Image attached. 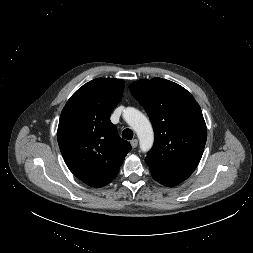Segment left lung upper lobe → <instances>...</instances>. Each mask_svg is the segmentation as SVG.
<instances>
[{"mask_svg":"<svg viewBox=\"0 0 253 253\" xmlns=\"http://www.w3.org/2000/svg\"><path fill=\"white\" fill-rule=\"evenodd\" d=\"M130 92L146 110L155 132L147 165L188 178L197 167L207 139L206 124L194 97L162 78L143 79Z\"/></svg>","mask_w":253,"mask_h":253,"instance_id":"5c2ea615","label":"left lung upper lobe"}]
</instances>
